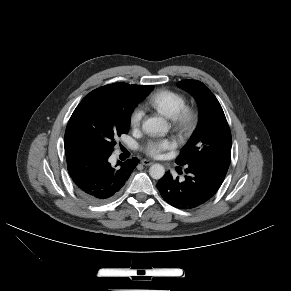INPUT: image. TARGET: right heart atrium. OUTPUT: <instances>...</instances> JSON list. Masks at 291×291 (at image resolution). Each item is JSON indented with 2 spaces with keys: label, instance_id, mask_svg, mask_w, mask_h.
Listing matches in <instances>:
<instances>
[{
  "label": "right heart atrium",
  "instance_id": "1",
  "mask_svg": "<svg viewBox=\"0 0 291 291\" xmlns=\"http://www.w3.org/2000/svg\"><path fill=\"white\" fill-rule=\"evenodd\" d=\"M144 117V111L141 107L137 106L133 109L129 117L130 126L137 128L140 126Z\"/></svg>",
  "mask_w": 291,
  "mask_h": 291
}]
</instances>
